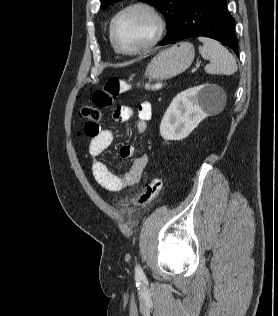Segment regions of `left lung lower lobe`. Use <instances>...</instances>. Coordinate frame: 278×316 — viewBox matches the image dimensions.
<instances>
[{
	"mask_svg": "<svg viewBox=\"0 0 278 316\" xmlns=\"http://www.w3.org/2000/svg\"><path fill=\"white\" fill-rule=\"evenodd\" d=\"M234 24L225 0H186L174 30L160 45L205 36L222 42L238 55Z\"/></svg>",
	"mask_w": 278,
	"mask_h": 316,
	"instance_id": "left-lung-lower-lobe-1",
	"label": "left lung lower lobe"
}]
</instances>
